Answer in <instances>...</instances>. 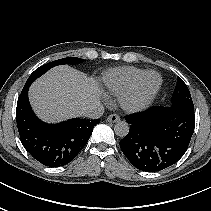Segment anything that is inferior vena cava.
I'll list each match as a JSON object with an SVG mask.
<instances>
[{
	"label": "inferior vena cava",
	"instance_id": "1",
	"mask_svg": "<svg viewBox=\"0 0 211 211\" xmlns=\"http://www.w3.org/2000/svg\"><path fill=\"white\" fill-rule=\"evenodd\" d=\"M104 113V107L100 102H96L90 106H88L83 115L90 119H97L100 118Z\"/></svg>",
	"mask_w": 211,
	"mask_h": 211
}]
</instances>
